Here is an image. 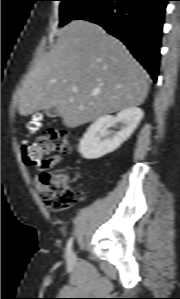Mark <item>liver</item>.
Returning <instances> with one entry per match:
<instances>
[{
  "label": "liver",
  "mask_w": 180,
  "mask_h": 299,
  "mask_svg": "<svg viewBox=\"0 0 180 299\" xmlns=\"http://www.w3.org/2000/svg\"><path fill=\"white\" fill-rule=\"evenodd\" d=\"M148 88L146 71L118 39L94 23L75 20L26 76L19 113L57 107L64 125L75 128L141 105Z\"/></svg>",
  "instance_id": "1"
}]
</instances>
